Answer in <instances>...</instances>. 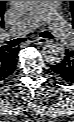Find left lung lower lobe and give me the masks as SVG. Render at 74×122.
I'll return each instance as SVG.
<instances>
[{
    "label": "left lung lower lobe",
    "instance_id": "obj_1",
    "mask_svg": "<svg viewBox=\"0 0 74 122\" xmlns=\"http://www.w3.org/2000/svg\"><path fill=\"white\" fill-rule=\"evenodd\" d=\"M50 66L63 81L74 84V49L66 50L64 59Z\"/></svg>",
    "mask_w": 74,
    "mask_h": 122
}]
</instances>
